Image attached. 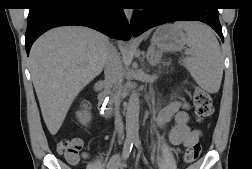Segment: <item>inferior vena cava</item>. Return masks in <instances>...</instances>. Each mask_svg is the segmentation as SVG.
<instances>
[{
  "mask_svg": "<svg viewBox=\"0 0 252 169\" xmlns=\"http://www.w3.org/2000/svg\"><path fill=\"white\" fill-rule=\"evenodd\" d=\"M122 62L117 49L109 44L106 50V61H105V83L114 90V115H115V126L118 132V137L123 139L124 126L122 117L120 115V99L121 90L119 88V82L122 76Z\"/></svg>",
  "mask_w": 252,
  "mask_h": 169,
  "instance_id": "1",
  "label": "inferior vena cava"
}]
</instances>
